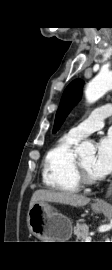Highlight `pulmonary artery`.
Returning a JSON list of instances; mask_svg holds the SVG:
<instances>
[{
  "mask_svg": "<svg viewBox=\"0 0 112 270\" xmlns=\"http://www.w3.org/2000/svg\"><path fill=\"white\" fill-rule=\"evenodd\" d=\"M112 115L111 106H102L95 109L90 116L81 122L79 125L73 127L69 134L76 138L82 139L85 136L100 130L104 126V119Z\"/></svg>",
  "mask_w": 112,
  "mask_h": 270,
  "instance_id": "1",
  "label": "pulmonary artery"
}]
</instances>
